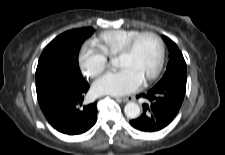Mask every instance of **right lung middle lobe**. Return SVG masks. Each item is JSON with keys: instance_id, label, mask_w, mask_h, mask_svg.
Segmentation results:
<instances>
[{"instance_id": "dd1d6c3e", "label": "right lung middle lobe", "mask_w": 225, "mask_h": 155, "mask_svg": "<svg viewBox=\"0 0 225 155\" xmlns=\"http://www.w3.org/2000/svg\"><path fill=\"white\" fill-rule=\"evenodd\" d=\"M93 28L67 31L43 50L36 69L37 96L63 80H83L78 64L79 49Z\"/></svg>"}]
</instances>
